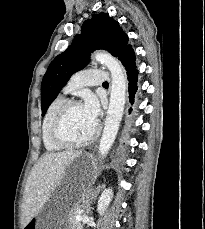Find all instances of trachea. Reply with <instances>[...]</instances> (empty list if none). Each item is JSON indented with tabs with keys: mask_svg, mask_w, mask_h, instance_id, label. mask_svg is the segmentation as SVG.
Listing matches in <instances>:
<instances>
[{
	"mask_svg": "<svg viewBox=\"0 0 205 229\" xmlns=\"http://www.w3.org/2000/svg\"><path fill=\"white\" fill-rule=\"evenodd\" d=\"M103 84H104V85H108V82H104Z\"/></svg>",
	"mask_w": 205,
	"mask_h": 229,
	"instance_id": "3493384b",
	"label": "trachea"
}]
</instances>
